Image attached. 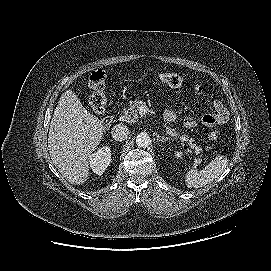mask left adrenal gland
<instances>
[{"mask_svg": "<svg viewBox=\"0 0 271 271\" xmlns=\"http://www.w3.org/2000/svg\"><path fill=\"white\" fill-rule=\"evenodd\" d=\"M167 140H171V139L168 138V137H165V136H162V137L158 136V137H157L158 143L165 142V141H167Z\"/></svg>", "mask_w": 271, "mask_h": 271, "instance_id": "a2214340", "label": "left adrenal gland"}]
</instances>
